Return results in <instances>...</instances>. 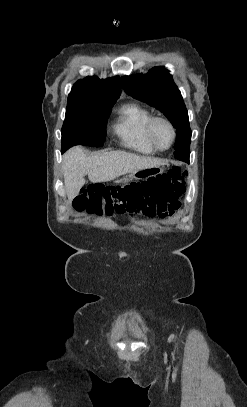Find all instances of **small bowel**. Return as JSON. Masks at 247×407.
Here are the masks:
<instances>
[{"instance_id":"obj_1","label":"small bowel","mask_w":247,"mask_h":407,"mask_svg":"<svg viewBox=\"0 0 247 407\" xmlns=\"http://www.w3.org/2000/svg\"><path fill=\"white\" fill-rule=\"evenodd\" d=\"M180 208V202L177 200L174 203L165 201L148 202L143 209L130 214L131 218H137L143 216L148 219H160L165 220L173 217Z\"/></svg>"}]
</instances>
